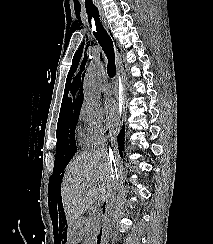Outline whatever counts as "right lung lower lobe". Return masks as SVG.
<instances>
[{
	"label": "right lung lower lobe",
	"instance_id": "1",
	"mask_svg": "<svg viewBox=\"0 0 213 244\" xmlns=\"http://www.w3.org/2000/svg\"><path fill=\"white\" fill-rule=\"evenodd\" d=\"M124 134H125V128H124V125H123V127H122V129H121V131H120V133L118 135V144L120 146L119 153H120L121 156H123L122 150H124V140H125L124 139Z\"/></svg>",
	"mask_w": 213,
	"mask_h": 244
}]
</instances>
